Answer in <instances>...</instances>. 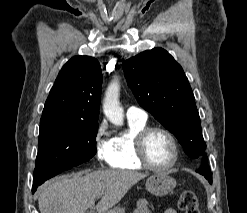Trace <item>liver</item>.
I'll use <instances>...</instances> for the list:
<instances>
[{"instance_id": "6515ba94", "label": "liver", "mask_w": 247, "mask_h": 213, "mask_svg": "<svg viewBox=\"0 0 247 213\" xmlns=\"http://www.w3.org/2000/svg\"><path fill=\"white\" fill-rule=\"evenodd\" d=\"M78 172L56 178L41 188L40 213H86L96 209L105 213L114 207L147 174L124 170ZM103 195L95 206V200Z\"/></svg>"}]
</instances>
